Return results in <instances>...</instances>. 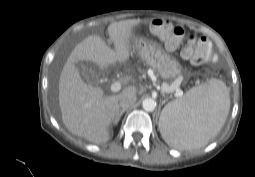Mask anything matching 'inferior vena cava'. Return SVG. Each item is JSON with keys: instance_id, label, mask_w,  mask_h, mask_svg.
<instances>
[{"instance_id": "602c4592", "label": "inferior vena cava", "mask_w": 255, "mask_h": 177, "mask_svg": "<svg viewBox=\"0 0 255 177\" xmlns=\"http://www.w3.org/2000/svg\"><path fill=\"white\" fill-rule=\"evenodd\" d=\"M136 102V95L134 94H126L120 99V106L123 109H128L129 107L133 106Z\"/></svg>"}]
</instances>
